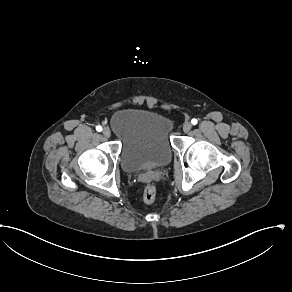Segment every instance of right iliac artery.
Wrapping results in <instances>:
<instances>
[{
  "mask_svg": "<svg viewBox=\"0 0 292 292\" xmlns=\"http://www.w3.org/2000/svg\"><path fill=\"white\" fill-rule=\"evenodd\" d=\"M96 130H97L98 132H101V131H102V126H100V125L97 126V127H96Z\"/></svg>",
  "mask_w": 292,
  "mask_h": 292,
  "instance_id": "82829eb1",
  "label": "right iliac artery"
}]
</instances>
